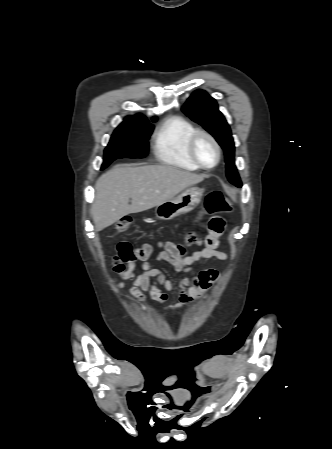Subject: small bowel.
Listing matches in <instances>:
<instances>
[{
	"instance_id": "small-bowel-1",
	"label": "small bowel",
	"mask_w": 332,
	"mask_h": 449,
	"mask_svg": "<svg viewBox=\"0 0 332 449\" xmlns=\"http://www.w3.org/2000/svg\"><path fill=\"white\" fill-rule=\"evenodd\" d=\"M226 226L223 218H212L206 225L207 235L199 241L200 249L192 254H188L183 245L172 241L160 242L159 246L163 251L156 257H152L153 247L150 244L135 248L136 259L143 261L142 271H136L133 262L119 267L114 266L118 276L114 279V283L117 287L123 288L126 282L131 281L129 292L141 302L145 301L148 294L153 300L164 303L168 300V294L163 292V289L166 292H173L176 289L179 302L169 310H180L201 299L219 279V272L216 269L193 272L192 268L196 262L217 259L225 264L229 263L228 254L218 250L220 237ZM154 262H166L177 272L185 275L177 288L162 269L153 266Z\"/></svg>"
}]
</instances>
